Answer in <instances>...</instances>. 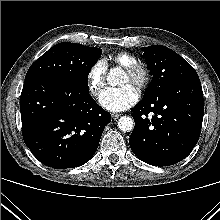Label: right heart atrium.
Here are the masks:
<instances>
[{
	"mask_svg": "<svg viewBox=\"0 0 220 220\" xmlns=\"http://www.w3.org/2000/svg\"><path fill=\"white\" fill-rule=\"evenodd\" d=\"M107 63L104 59H97L87 72V83L90 93L97 97L106 83Z\"/></svg>",
	"mask_w": 220,
	"mask_h": 220,
	"instance_id": "d8ad5b80",
	"label": "right heart atrium"
}]
</instances>
